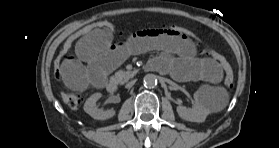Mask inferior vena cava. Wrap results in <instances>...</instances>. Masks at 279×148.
<instances>
[{"instance_id": "obj_1", "label": "inferior vena cava", "mask_w": 279, "mask_h": 148, "mask_svg": "<svg viewBox=\"0 0 279 148\" xmlns=\"http://www.w3.org/2000/svg\"><path fill=\"white\" fill-rule=\"evenodd\" d=\"M134 83H135V81L133 80V81H130V82H128L127 84H126V88H131L133 85H134Z\"/></svg>"}]
</instances>
